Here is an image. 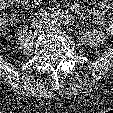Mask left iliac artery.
<instances>
[{
	"mask_svg": "<svg viewBox=\"0 0 113 113\" xmlns=\"http://www.w3.org/2000/svg\"><path fill=\"white\" fill-rule=\"evenodd\" d=\"M64 20H66V22H68V23H69V22H72L70 16H68V15L66 16V18H65Z\"/></svg>",
	"mask_w": 113,
	"mask_h": 113,
	"instance_id": "left-iliac-artery-1",
	"label": "left iliac artery"
}]
</instances>
